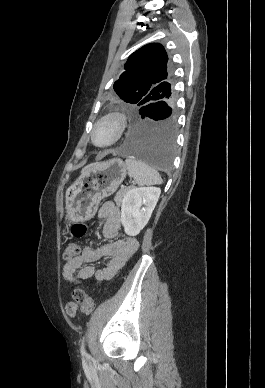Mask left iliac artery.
Wrapping results in <instances>:
<instances>
[{
  "label": "left iliac artery",
  "instance_id": "44dca946",
  "mask_svg": "<svg viewBox=\"0 0 265 388\" xmlns=\"http://www.w3.org/2000/svg\"><path fill=\"white\" fill-rule=\"evenodd\" d=\"M81 354H82L83 356H86V355H87V353H86V351H85L84 343H82V345H81Z\"/></svg>",
  "mask_w": 265,
  "mask_h": 388
}]
</instances>
